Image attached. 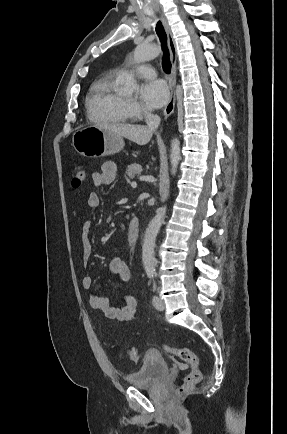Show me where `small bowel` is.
<instances>
[{
  "instance_id": "obj_1",
  "label": "small bowel",
  "mask_w": 287,
  "mask_h": 434,
  "mask_svg": "<svg viewBox=\"0 0 287 434\" xmlns=\"http://www.w3.org/2000/svg\"><path fill=\"white\" fill-rule=\"evenodd\" d=\"M116 173L117 170L114 163L104 162L99 171L92 173V183L97 187L112 184L115 181ZM86 206L91 211L98 209L100 206L98 194L90 193L87 196ZM91 228V222H85L80 238L82 261L85 265L91 258L93 252L89 236ZM108 271L110 275L117 277L121 282H127L131 277L130 267L121 256L115 257L110 262ZM93 283V278L90 276H84L81 281L83 289L87 291L91 290ZM89 303L93 309L103 312L108 319L115 321L132 320L137 310V298L131 294H126L119 305H114L109 298L90 292Z\"/></svg>"
}]
</instances>
